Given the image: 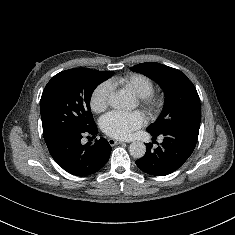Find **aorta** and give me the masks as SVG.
I'll return each instance as SVG.
<instances>
[{
    "label": "aorta",
    "instance_id": "1",
    "mask_svg": "<svg viewBox=\"0 0 235 235\" xmlns=\"http://www.w3.org/2000/svg\"><path fill=\"white\" fill-rule=\"evenodd\" d=\"M109 104L112 108L117 110H124L129 108L130 99L127 94L123 92H117L112 94L109 98ZM130 155L134 158H142L146 153V146L143 142L135 141L129 146Z\"/></svg>",
    "mask_w": 235,
    "mask_h": 235
}]
</instances>
